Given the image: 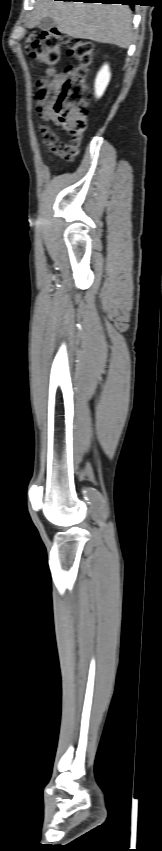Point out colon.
Here are the masks:
<instances>
[{
    "mask_svg": "<svg viewBox=\"0 0 162 851\" xmlns=\"http://www.w3.org/2000/svg\"><path fill=\"white\" fill-rule=\"evenodd\" d=\"M63 50L78 62V66L66 70V79L54 111L57 124L78 145L87 126L89 91L85 77L94 57L95 46L90 41L67 36L56 29L31 33L25 38L26 53L47 65L60 63ZM76 155L77 150H72L70 160Z\"/></svg>",
    "mask_w": 162,
    "mask_h": 851,
    "instance_id": "5ec220e1",
    "label": "colon"
}]
</instances>
